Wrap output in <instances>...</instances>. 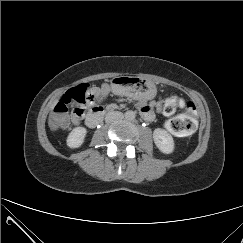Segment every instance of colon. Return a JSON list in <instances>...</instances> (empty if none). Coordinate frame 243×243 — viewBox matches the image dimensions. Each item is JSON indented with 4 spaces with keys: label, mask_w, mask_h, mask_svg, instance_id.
<instances>
[{
    "label": "colon",
    "mask_w": 243,
    "mask_h": 243,
    "mask_svg": "<svg viewBox=\"0 0 243 243\" xmlns=\"http://www.w3.org/2000/svg\"><path fill=\"white\" fill-rule=\"evenodd\" d=\"M94 99L93 88L82 83L70 88L54 108L49 123L53 129H62L69 125L70 118L80 120L85 113V106ZM72 106L71 115L69 107ZM177 109L183 112L165 122V128L177 136H187L194 132L197 126L196 108L194 103L185 102L179 96L172 94L163 105V113L172 115Z\"/></svg>",
    "instance_id": "1"
}]
</instances>
